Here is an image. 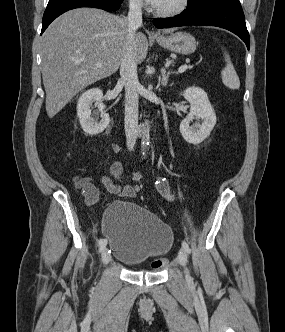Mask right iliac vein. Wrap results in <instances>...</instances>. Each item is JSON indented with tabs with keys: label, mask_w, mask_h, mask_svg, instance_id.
<instances>
[{
	"label": "right iliac vein",
	"mask_w": 285,
	"mask_h": 332,
	"mask_svg": "<svg viewBox=\"0 0 285 332\" xmlns=\"http://www.w3.org/2000/svg\"><path fill=\"white\" fill-rule=\"evenodd\" d=\"M110 259H111V256L110 254L108 253V249L105 247L103 250H102V254H101V260H102V263L104 265H107L109 262H110Z\"/></svg>",
	"instance_id": "63e3f726"
}]
</instances>
